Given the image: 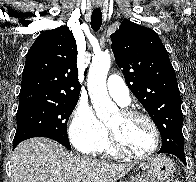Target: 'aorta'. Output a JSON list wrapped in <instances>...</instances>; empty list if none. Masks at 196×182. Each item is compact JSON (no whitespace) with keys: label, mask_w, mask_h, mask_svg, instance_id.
Listing matches in <instances>:
<instances>
[{"label":"aorta","mask_w":196,"mask_h":182,"mask_svg":"<svg viewBox=\"0 0 196 182\" xmlns=\"http://www.w3.org/2000/svg\"><path fill=\"white\" fill-rule=\"evenodd\" d=\"M111 65V56L108 52H100L92 58L89 68L87 87L92 105L97 117L106 122L111 115L118 112L117 106L111 101L106 78Z\"/></svg>","instance_id":"aorta-1"}]
</instances>
